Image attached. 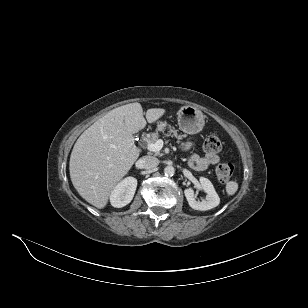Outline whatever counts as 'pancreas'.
Returning <instances> with one entry per match:
<instances>
[{
    "mask_svg": "<svg viewBox=\"0 0 308 308\" xmlns=\"http://www.w3.org/2000/svg\"><path fill=\"white\" fill-rule=\"evenodd\" d=\"M167 126H168L169 131L166 134V136H174L179 140L182 139L183 137H185V135H178V131L175 130L170 125H168L167 122H158L156 131L154 133L150 134L149 137H145V139H144L145 142L147 144L155 143L159 138L158 132H164L166 130ZM155 153H156V155H160L159 151H156Z\"/></svg>",
    "mask_w": 308,
    "mask_h": 308,
    "instance_id": "obj_1",
    "label": "pancreas"
}]
</instances>
